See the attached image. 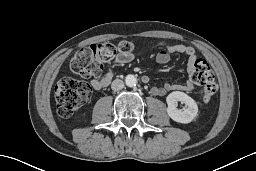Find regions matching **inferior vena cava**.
<instances>
[{"instance_id":"602c4592","label":"inferior vena cava","mask_w":256,"mask_h":171,"mask_svg":"<svg viewBox=\"0 0 256 171\" xmlns=\"http://www.w3.org/2000/svg\"><path fill=\"white\" fill-rule=\"evenodd\" d=\"M123 87H124V82L120 79H115L111 84V88L114 91H119L123 89Z\"/></svg>"}]
</instances>
